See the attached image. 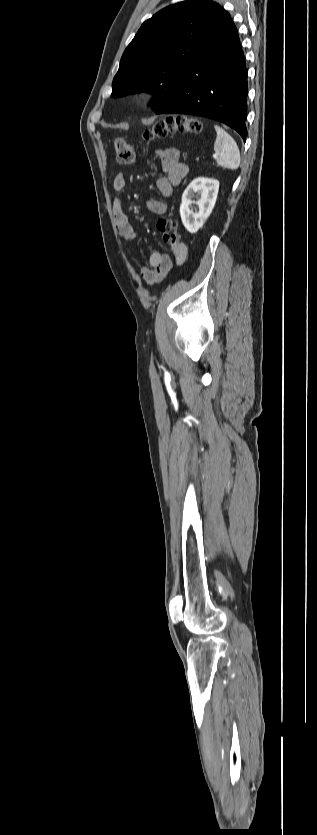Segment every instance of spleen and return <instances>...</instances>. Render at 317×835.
<instances>
[{"label": "spleen", "instance_id": "obj_1", "mask_svg": "<svg viewBox=\"0 0 317 835\" xmlns=\"http://www.w3.org/2000/svg\"><path fill=\"white\" fill-rule=\"evenodd\" d=\"M217 133L214 151L218 166L235 170L240 166V152L235 140L220 126H214Z\"/></svg>", "mask_w": 317, "mask_h": 835}]
</instances>
